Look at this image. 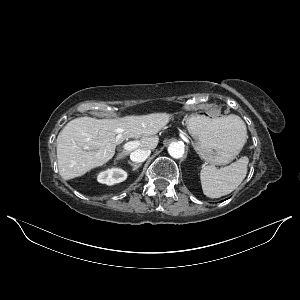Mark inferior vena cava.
Masks as SVG:
<instances>
[{"mask_svg": "<svg viewBox=\"0 0 300 300\" xmlns=\"http://www.w3.org/2000/svg\"><path fill=\"white\" fill-rule=\"evenodd\" d=\"M151 151L149 149H136L130 154V159L135 163L144 162L150 155Z\"/></svg>", "mask_w": 300, "mask_h": 300, "instance_id": "602c4592", "label": "inferior vena cava"}]
</instances>
